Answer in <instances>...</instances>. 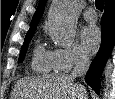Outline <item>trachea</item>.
<instances>
[{
  "label": "trachea",
  "mask_w": 115,
  "mask_h": 99,
  "mask_svg": "<svg viewBox=\"0 0 115 99\" xmlns=\"http://www.w3.org/2000/svg\"><path fill=\"white\" fill-rule=\"evenodd\" d=\"M95 5L97 9H99L100 11H103L104 0H96Z\"/></svg>",
  "instance_id": "obj_1"
}]
</instances>
